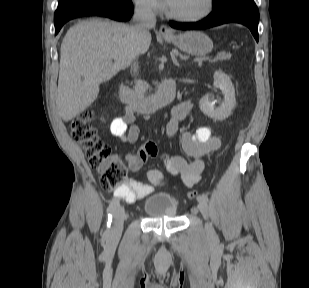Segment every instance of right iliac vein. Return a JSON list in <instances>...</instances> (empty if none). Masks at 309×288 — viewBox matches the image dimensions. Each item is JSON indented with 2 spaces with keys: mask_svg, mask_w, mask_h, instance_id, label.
I'll list each match as a JSON object with an SVG mask.
<instances>
[{
  "mask_svg": "<svg viewBox=\"0 0 309 288\" xmlns=\"http://www.w3.org/2000/svg\"><path fill=\"white\" fill-rule=\"evenodd\" d=\"M124 219H125L124 209L122 207L117 208L113 215V223L110 232V239L112 241L117 240L121 236Z\"/></svg>",
  "mask_w": 309,
  "mask_h": 288,
  "instance_id": "right-iliac-vein-1",
  "label": "right iliac vein"
}]
</instances>
